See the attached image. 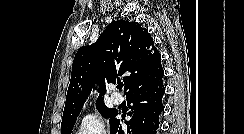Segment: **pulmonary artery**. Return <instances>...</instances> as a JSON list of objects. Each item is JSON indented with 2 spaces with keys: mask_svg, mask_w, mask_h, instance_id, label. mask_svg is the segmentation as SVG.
<instances>
[{
  "mask_svg": "<svg viewBox=\"0 0 244 134\" xmlns=\"http://www.w3.org/2000/svg\"><path fill=\"white\" fill-rule=\"evenodd\" d=\"M111 100L115 105H119L122 102V97L117 93H113L111 95Z\"/></svg>",
  "mask_w": 244,
  "mask_h": 134,
  "instance_id": "obj_1",
  "label": "pulmonary artery"
}]
</instances>
